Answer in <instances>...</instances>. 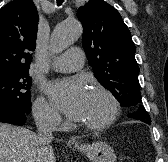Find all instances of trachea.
Returning <instances> with one entry per match:
<instances>
[{
    "label": "trachea",
    "instance_id": "obj_1",
    "mask_svg": "<svg viewBox=\"0 0 168 162\" xmlns=\"http://www.w3.org/2000/svg\"><path fill=\"white\" fill-rule=\"evenodd\" d=\"M64 2V0H57V5H61Z\"/></svg>",
    "mask_w": 168,
    "mask_h": 162
}]
</instances>
